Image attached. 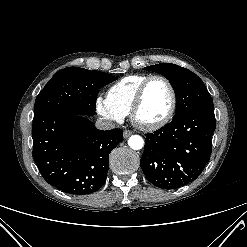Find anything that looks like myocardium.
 <instances>
[{
  "instance_id": "f54148a6",
  "label": "myocardium",
  "mask_w": 247,
  "mask_h": 247,
  "mask_svg": "<svg viewBox=\"0 0 247 247\" xmlns=\"http://www.w3.org/2000/svg\"><path fill=\"white\" fill-rule=\"evenodd\" d=\"M156 79H161L167 83L170 89V92H171V105H170L168 112L163 118L153 123H144L138 119L137 117L138 111H139L140 106L142 105V102L144 100V96H145V93H146V90L149 84L153 80H156ZM176 106H177V91H176V88L173 82L165 75L155 74V75L149 76L138 88L135 94V97L133 99L132 105H131L130 117H131L132 122L139 128L146 130V131H153V130H156V129H159L165 126L172 119L175 113V110H176Z\"/></svg>"
}]
</instances>
